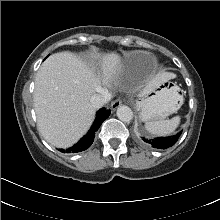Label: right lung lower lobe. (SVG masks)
<instances>
[{
    "instance_id": "1",
    "label": "right lung lower lobe",
    "mask_w": 220,
    "mask_h": 220,
    "mask_svg": "<svg viewBox=\"0 0 220 220\" xmlns=\"http://www.w3.org/2000/svg\"><path fill=\"white\" fill-rule=\"evenodd\" d=\"M110 113H111V110H106L105 108H101L97 112V116L95 118L94 124L91 127L90 131L77 144H75L73 147H70L67 150L61 149L60 151L61 152L76 153V152H81V151H84V150L88 149L94 141L95 132L98 130V128L100 127L102 122L106 118H108Z\"/></svg>"
}]
</instances>
